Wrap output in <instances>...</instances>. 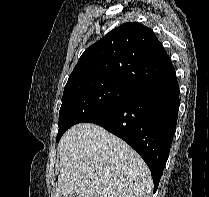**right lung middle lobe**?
<instances>
[{"instance_id": "1", "label": "right lung middle lobe", "mask_w": 209, "mask_h": 197, "mask_svg": "<svg viewBox=\"0 0 209 197\" xmlns=\"http://www.w3.org/2000/svg\"><path fill=\"white\" fill-rule=\"evenodd\" d=\"M135 87L116 80L81 81L66 85L59 112V130L56 141L71 126L121 101Z\"/></svg>"}]
</instances>
